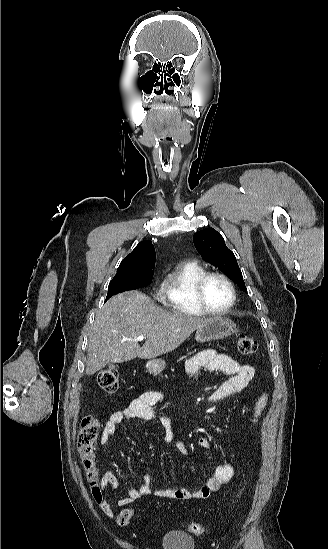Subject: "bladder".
<instances>
[{"label":"bladder","mask_w":328,"mask_h":549,"mask_svg":"<svg viewBox=\"0 0 328 549\" xmlns=\"http://www.w3.org/2000/svg\"><path fill=\"white\" fill-rule=\"evenodd\" d=\"M164 549H194L193 536L176 532L165 533L162 537Z\"/></svg>","instance_id":"31cf9c89"}]
</instances>
